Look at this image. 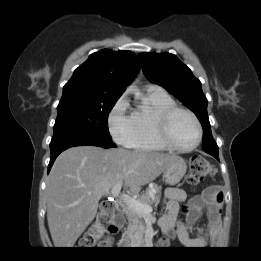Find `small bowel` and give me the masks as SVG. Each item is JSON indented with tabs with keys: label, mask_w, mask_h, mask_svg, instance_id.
<instances>
[{
	"label": "small bowel",
	"mask_w": 261,
	"mask_h": 261,
	"mask_svg": "<svg viewBox=\"0 0 261 261\" xmlns=\"http://www.w3.org/2000/svg\"><path fill=\"white\" fill-rule=\"evenodd\" d=\"M165 214L159 220V226L164 232L176 227L179 241L188 249L203 248L208 245V236L191 238L187 227L178 219L181 204L186 200V193L181 188H169L164 195ZM223 191L218 186H210L201 196L190 202L188 220L195 224L203 214L206 215L212 233H217L221 224Z\"/></svg>",
	"instance_id": "obj_1"
}]
</instances>
